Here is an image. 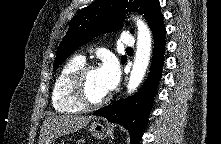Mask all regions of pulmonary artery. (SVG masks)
Wrapping results in <instances>:
<instances>
[{
	"instance_id": "obj_1",
	"label": "pulmonary artery",
	"mask_w": 221,
	"mask_h": 144,
	"mask_svg": "<svg viewBox=\"0 0 221 144\" xmlns=\"http://www.w3.org/2000/svg\"><path fill=\"white\" fill-rule=\"evenodd\" d=\"M120 42H121V44H123L127 47H132L135 43L133 36L128 32H124L121 35ZM81 57L84 58V56H81Z\"/></svg>"
}]
</instances>
